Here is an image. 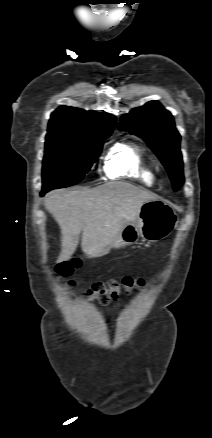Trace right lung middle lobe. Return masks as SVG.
<instances>
[{"label": "right lung middle lobe", "mask_w": 212, "mask_h": 438, "mask_svg": "<svg viewBox=\"0 0 212 438\" xmlns=\"http://www.w3.org/2000/svg\"><path fill=\"white\" fill-rule=\"evenodd\" d=\"M109 136L47 135L42 168L43 188H63L81 181L97 161L103 140Z\"/></svg>", "instance_id": "obj_1"}]
</instances>
